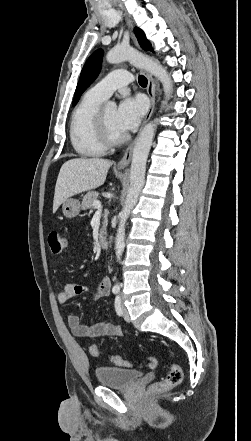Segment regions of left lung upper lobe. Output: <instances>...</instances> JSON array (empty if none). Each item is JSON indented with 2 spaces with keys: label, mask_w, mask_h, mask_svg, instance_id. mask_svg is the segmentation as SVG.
Segmentation results:
<instances>
[{
  "label": "left lung upper lobe",
  "mask_w": 251,
  "mask_h": 441,
  "mask_svg": "<svg viewBox=\"0 0 251 441\" xmlns=\"http://www.w3.org/2000/svg\"><path fill=\"white\" fill-rule=\"evenodd\" d=\"M134 32L141 48L145 51L151 50V44L146 39L144 32L137 27L134 29ZM102 56L103 51L101 49H98L86 61L80 74L79 82L75 91L73 105L77 103L80 95L98 76L101 69Z\"/></svg>",
  "instance_id": "obj_1"
}]
</instances>
